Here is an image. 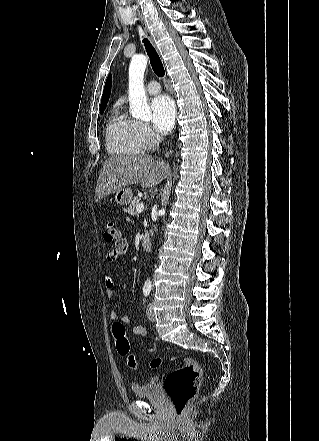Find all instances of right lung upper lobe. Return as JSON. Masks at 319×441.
Masks as SVG:
<instances>
[{
	"instance_id": "right-lung-upper-lobe-1",
	"label": "right lung upper lobe",
	"mask_w": 319,
	"mask_h": 441,
	"mask_svg": "<svg viewBox=\"0 0 319 441\" xmlns=\"http://www.w3.org/2000/svg\"><path fill=\"white\" fill-rule=\"evenodd\" d=\"M111 83H112V78L111 75H109L105 83V87L102 95L101 107L106 106L108 103L111 92Z\"/></svg>"
}]
</instances>
